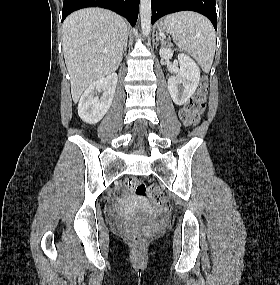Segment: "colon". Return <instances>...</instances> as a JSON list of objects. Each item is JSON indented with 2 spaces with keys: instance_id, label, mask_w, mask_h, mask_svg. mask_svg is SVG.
<instances>
[{
  "instance_id": "obj_1",
  "label": "colon",
  "mask_w": 280,
  "mask_h": 285,
  "mask_svg": "<svg viewBox=\"0 0 280 285\" xmlns=\"http://www.w3.org/2000/svg\"><path fill=\"white\" fill-rule=\"evenodd\" d=\"M208 94L207 79L203 77L200 81L199 87L194 95L185 104L181 111V119L189 126L196 125L199 122L200 116L205 110ZM126 187L134 191L137 196L149 195L155 203H160L163 200V193L155 187H148L145 183L136 179H128ZM132 242L140 245L144 242L145 236L143 234H135L132 236Z\"/></svg>"
}]
</instances>
